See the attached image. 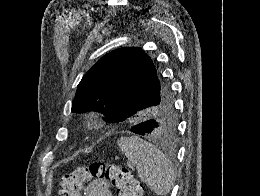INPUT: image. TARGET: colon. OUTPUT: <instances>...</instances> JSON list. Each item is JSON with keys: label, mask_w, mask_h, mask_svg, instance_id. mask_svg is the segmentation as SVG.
Wrapping results in <instances>:
<instances>
[{"label": "colon", "mask_w": 260, "mask_h": 196, "mask_svg": "<svg viewBox=\"0 0 260 196\" xmlns=\"http://www.w3.org/2000/svg\"><path fill=\"white\" fill-rule=\"evenodd\" d=\"M103 181H108L119 192L131 191L136 185L130 178L127 167L107 162H94L78 166L74 171L61 177L58 196H81L85 184Z\"/></svg>", "instance_id": "1"}]
</instances>
